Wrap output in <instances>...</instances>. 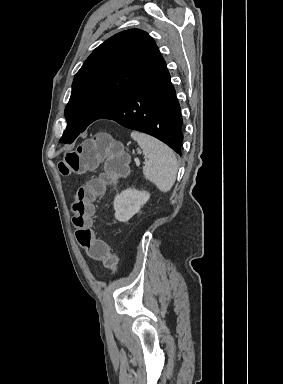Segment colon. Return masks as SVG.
<instances>
[{
    "label": "colon",
    "mask_w": 283,
    "mask_h": 384,
    "mask_svg": "<svg viewBox=\"0 0 283 384\" xmlns=\"http://www.w3.org/2000/svg\"><path fill=\"white\" fill-rule=\"evenodd\" d=\"M100 163L103 172L74 192L72 203L73 225L76 239L88 256L103 263L104 267L116 271L118 259L106 242L96 239L92 230V218L95 212L94 202L102 196L109 185L128 172V157L121 151L119 144L105 133H96L75 149L69 150L59 163L63 175L81 174L92 170Z\"/></svg>",
    "instance_id": "colon-1"
}]
</instances>
